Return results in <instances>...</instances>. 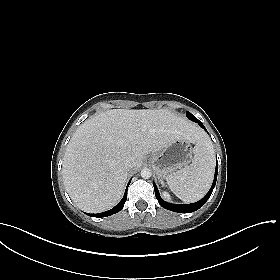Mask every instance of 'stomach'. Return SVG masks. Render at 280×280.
I'll return each mask as SVG.
<instances>
[{"instance_id":"0dacf381","label":"stomach","mask_w":280,"mask_h":280,"mask_svg":"<svg viewBox=\"0 0 280 280\" xmlns=\"http://www.w3.org/2000/svg\"><path fill=\"white\" fill-rule=\"evenodd\" d=\"M194 149L184 138L175 139L163 149L153 153L149 159L159 178H167L170 174L181 170L192 160Z\"/></svg>"}]
</instances>
